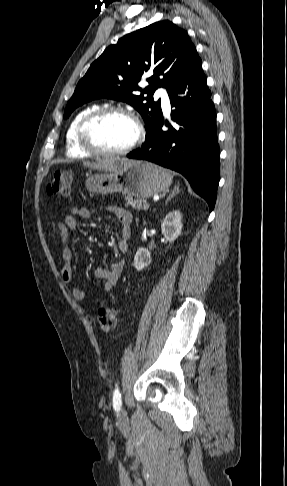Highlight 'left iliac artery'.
Masks as SVG:
<instances>
[{
    "label": "left iliac artery",
    "mask_w": 287,
    "mask_h": 486,
    "mask_svg": "<svg viewBox=\"0 0 287 486\" xmlns=\"http://www.w3.org/2000/svg\"><path fill=\"white\" fill-rule=\"evenodd\" d=\"M113 407L115 411H119L121 408V393L118 388L113 393Z\"/></svg>",
    "instance_id": "obj_1"
}]
</instances>
